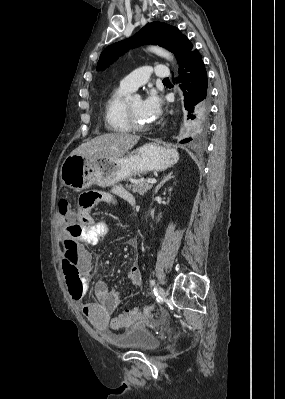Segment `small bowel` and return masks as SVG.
Masks as SVG:
<instances>
[{"label":"small bowel","instance_id":"c3829d8e","mask_svg":"<svg viewBox=\"0 0 285 399\" xmlns=\"http://www.w3.org/2000/svg\"><path fill=\"white\" fill-rule=\"evenodd\" d=\"M98 202H117V199L124 201L131 208L136 209L137 204L134 196L125 189L117 188L111 195L96 192ZM90 208L81 206L80 213L83 217L88 218L84 224L75 223L76 212L74 210L68 211L62 215L60 210L57 211L58 219L63 223V227L59 233V241L61 243L60 257L63 259L67 256L69 251L73 249V245L77 242L76 255L80 270L83 275L82 279V293L80 298L74 300L80 302V307L83 315L92 323V325L100 331L113 330L121 332L123 328L114 329L111 326V315L117 308L120 301V292L118 290H110L108 285L103 282H96L93 285V292L97 299V303L83 301L85 293L90 289L89 273L92 268V255L89 251L84 249L79 242H86L89 244H97L105 235L111 231V226L101 220H93L90 218ZM128 281L135 287L142 284V275L138 264L135 262L127 273ZM142 320L140 318L138 323Z\"/></svg>","mask_w":285,"mask_h":399}]
</instances>
